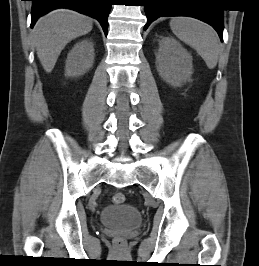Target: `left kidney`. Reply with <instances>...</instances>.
<instances>
[{"label": "left kidney", "mask_w": 259, "mask_h": 266, "mask_svg": "<svg viewBox=\"0 0 259 266\" xmlns=\"http://www.w3.org/2000/svg\"><path fill=\"white\" fill-rule=\"evenodd\" d=\"M159 75L170 85L177 87L192 75V56L173 37H162L156 55Z\"/></svg>", "instance_id": "5707ae66"}]
</instances>
